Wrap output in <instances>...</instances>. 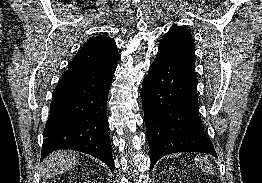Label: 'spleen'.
<instances>
[{
    "mask_svg": "<svg viewBox=\"0 0 262 183\" xmlns=\"http://www.w3.org/2000/svg\"><path fill=\"white\" fill-rule=\"evenodd\" d=\"M197 160V164L198 166L202 169V170H210L211 166L207 160V158L205 157H200Z\"/></svg>",
    "mask_w": 262,
    "mask_h": 183,
    "instance_id": "3e777b00",
    "label": "spleen"
}]
</instances>
